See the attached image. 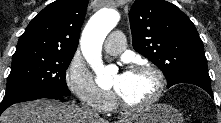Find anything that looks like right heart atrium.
<instances>
[{"mask_svg": "<svg viewBox=\"0 0 221 123\" xmlns=\"http://www.w3.org/2000/svg\"><path fill=\"white\" fill-rule=\"evenodd\" d=\"M66 84L74 95L86 106L106 113L111 109L114 96L109 90L100 88L87 67L73 59L66 70Z\"/></svg>", "mask_w": 221, "mask_h": 123, "instance_id": "1", "label": "right heart atrium"}]
</instances>
